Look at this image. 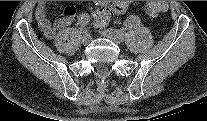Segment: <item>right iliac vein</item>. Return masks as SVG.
<instances>
[{"label": "right iliac vein", "mask_w": 207, "mask_h": 121, "mask_svg": "<svg viewBox=\"0 0 207 121\" xmlns=\"http://www.w3.org/2000/svg\"><path fill=\"white\" fill-rule=\"evenodd\" d=\"M90 40H91L90 34L88 32H85L82 36V43L84 45H87L89 44Z\"/></svg>", "instance_id": "63e3f726"}]
</instances>
